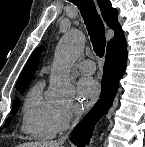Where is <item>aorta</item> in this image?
Returning a JSON list of instances; mask_svg holds the SVG:
<instances>
[{"mask_svg": "<svg viewBox=\"0 0 145 147\" xmlns=\"http://www.w3.org/2000/svg\"><path fill=\"white\" fill-rule=\"evenodd\" d=\"M85 46L84 34L71 29L59 41L50 77V99L64 102L73 95V85L69 76L70 67L78 60Z\"/></svg>", "mask_w": 145, "mask_h": 147, "instance_id": "aorta-1", "label": "aorta"}]
</instances>
